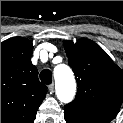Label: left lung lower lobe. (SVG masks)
<instances>
[{
    "instance_id": "1",
    "label": "left lung lower lobe",
    "mask_w": 123,
    "mask_h": 123,
    "mask_svg": "<svg viewBox=\"0 0 123 123\" xmlns=\"http://www.w3.org/2000/svg\"><path fill=\"white\" fill-rule=\"evenodd\" d=\"M64 118L67 123H109L110 120L88 114L79 109L65 108Z\"/></svg>"
}]
</instances>
